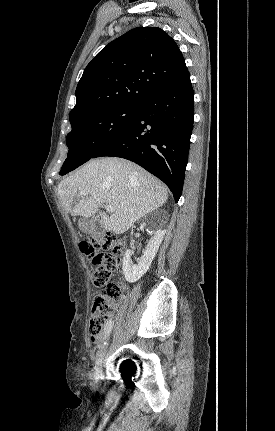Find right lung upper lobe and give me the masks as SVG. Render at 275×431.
I'll return each mask as SVG.
<instances>
[{
	"instance_id": "right-lung-upper-lobe-1",
	"label": "right lung upper lobe",
	"mask_w": 275,
	"mask_h": 431,
	"mask_svg": "<svg viewBox=\"0 0 275 431\" xmlns=\"http://www.w3.org/2000/svg\"><path fill=\"white\" fill-rule=\"evenodd\" d=\"M185 72L182 53L166 32L134 28L110 42L87 65L76 88L70 122L101 109L137 107Z\"/></svg>"
}]
</instances>
